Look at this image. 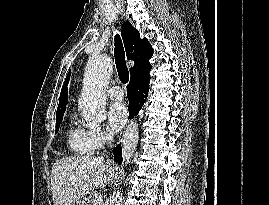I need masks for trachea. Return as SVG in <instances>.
Returning a JSON list of instances; mask_svg holds the SVG:
<instances>
[{
  "instance_id": "1",
  "label": "trachea",
  "mask_w": 269,
  "mask_h": 205,
  "mask_svg": "<svg viewBox=\"0 0 269 205\" xmlns=\"http://www.w3.org/2000/svg\"><path fill=\"white\" fill-rule=\"evenodd\" d=\"M114 41H115L114 56H115V63H116L117 71H118V76L120 78V81L123 84H126L129 81V71L126 67L125 52H124L123 44L118 34L115 35Z\"/></svg>"
}]
</instances>
